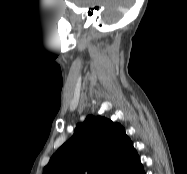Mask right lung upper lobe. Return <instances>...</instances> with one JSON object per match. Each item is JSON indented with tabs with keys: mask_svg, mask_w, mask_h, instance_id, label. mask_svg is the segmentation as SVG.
I'll list each match as a JSON object with an SVG mask.
<instances>
[{
	"mask_svg": "<svg viewBox=\"0 0 187 174\" xmlns=\"http://www.w3.org/2000/svg\"><path fill=\"white\" fill-rule=\"evenodd\" d=\"M142 168L119 123L87 116L51 157L43 174H136Z\"/></svg>",
	"mask_w": 187,
	"mask_h": 174,
	"instance_id": "1",
	"label": "right lung upper lobe"
}]
</instances>
